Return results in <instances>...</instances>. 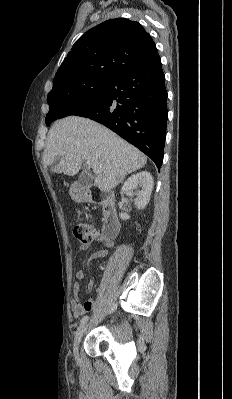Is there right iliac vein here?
<instances>
[{
	"label": "right iliac vein",
	"mask_w": 232,
	"mask_h": 399,
	"mask_svg": "<svg viewBox=\"0 0 232 399\" xmlns=\"http://www.w3.org/2000/svg\"><path fill=\"white\" fill-rule=\"evenodd\" d=\"M85 329H86V326H81L79 331L76 332L75 342H74L75 348L79 347L80 341H82L83 335L85 334V331H84Z\"/></svg>",
	"instance_id": "right-iliac-vein-1"
}]
</instances>
